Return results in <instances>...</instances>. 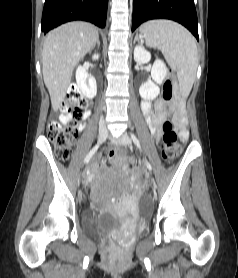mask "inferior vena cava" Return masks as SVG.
Segmentation results:
<instances>
[{"label": "inferior vena cava", "mask_w": 238, "mask_h": 278, "mask_svg": "<svg viewBox=\"0 0 238 278\" xmlns=\"http://www.w3.org/2000/svg\"><path fill=\"white\" fill-rule=\"evenodd\" d=\"M100 125L103 126V120H102V119H101V121H100Z\"/></svg>", "instance_id": "1"}]
</instances>
